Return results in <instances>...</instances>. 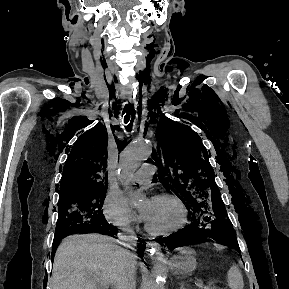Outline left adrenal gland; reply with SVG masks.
I'll return each instance as SVG.
<instances>
[{"instance_id": "left-adrenal-gland-1", "label": "left adrenal gland", "mask_w": 289, "mask_h": 289, "mask_svg": "<svg viewBox=\"0 0 289 289\" xmlns=\"http://www.w3.org/2000/svg\"><path fill=\"white\" fill-rule=\"evenodd\" d=\"M179 289H187L185 283L183 282L179 283Z\"/></svg>"}]
</instances>
